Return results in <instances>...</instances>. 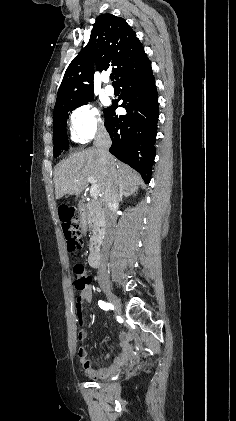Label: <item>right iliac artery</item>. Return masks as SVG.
Here are the masks:
<instances>
[{
  "label": "right iliac artery",
  "instance_id": "obj_1",
  "mask_svg": "<svg viewBox=\"0 0 236 421\" xmlns=\"http://www.w3.org/2000/svg\"><path fill=\"white\" fill-rule=\"evenodd\" d=\"M98 305H99V307L101 308V309H103V310H109L111 307H112V304H110V303H106V302H104V301H102V300H99L98 301Z\"/></svg>",
  "mask_w": 236,
  "mask_h": 421
}]
</instances>
